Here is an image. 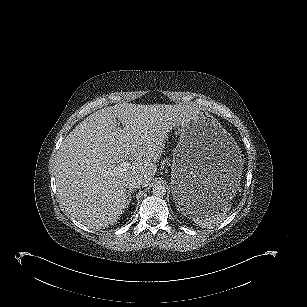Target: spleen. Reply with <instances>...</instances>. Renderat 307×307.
Masks as SVG:
<instances>
[{
  "instance_id": "1",
  "label": "spleen",
  "mask_w": 307,
  "mask_h": 307,
  "mask_svg": "<svg viewBox=\"0 0 307 307\" xmlns=\"http://www.w3.org/2000/svg\"><path fill=\"white\" fill-rule=\"evenodd\" d=\"M230 206L229 203H226L221 207V212L218 211L215 214L198 209L194 212L191 218H193V221L202 228H212L224 221L226 213L230 210Z\"/></svg>"
}]
</instances>
